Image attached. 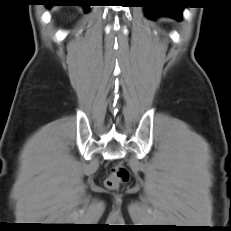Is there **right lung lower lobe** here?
Instances as JSON below:
<instances>
[{
	"instance_id": "98d812e1",
	"label": "right lung lower lobe",
	"mask_w": 231,
	"mask_h": 231,
	"mask_svg": "<svg viewBox=\"0 0 231 231\" xmlns=\"http://www.w3.org/2000/svg\"><path fill=\"white\" fill-rule=\"evenodd\" d=\"M53 5H78L82 6L85 11H88L90 7L87 0H48L46 6L51 7Z\"/></svg>"
}]
</instances>
